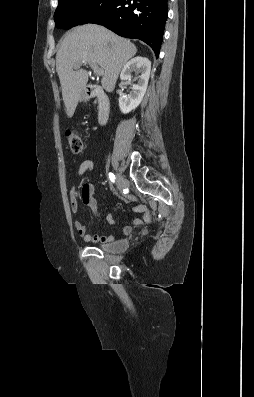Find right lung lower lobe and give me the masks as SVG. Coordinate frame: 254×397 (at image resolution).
Instances as JSON below:
<instances>
[{"label":"right lung lower lobe","mask_w":254,"mask_h":397,"mask_svg":"<svg viewBox=\"0 0 254 397\" xmlns=\"http://www.w3.org/2000/svg\"><path fill=\"white\" fill-rule=\"evenodd\" d=\"M168 0H114L89 23L103 25L116 34L147 43L158 57L168 16Z\"/></svg>","instance_id":"1"}]
</instances>
